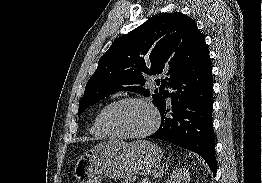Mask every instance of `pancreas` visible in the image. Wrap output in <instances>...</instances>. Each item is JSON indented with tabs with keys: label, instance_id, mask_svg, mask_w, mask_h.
I'll use <instances>...</instances> for the list:
<instances>
[{
	"label": "pancreas",
	"instance_id": "1",
	"mask_svg": "<svg viewBox=\"0 0 262 183\" xmlns=\"http://www.w3.org/2000/svg\"><path fill=\"white\" fill-rule=\"evenodd\" d=\"M134 181V178L132 176L127 177L122 183H131Z\"/></svg>",
	"mask_w": 262,
	"mask_h": 183
}]
</instances>
